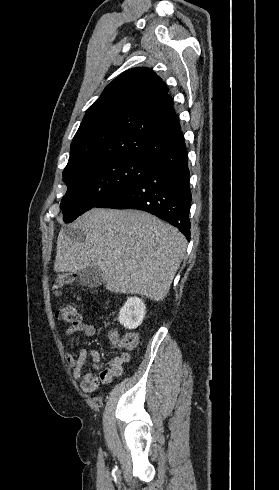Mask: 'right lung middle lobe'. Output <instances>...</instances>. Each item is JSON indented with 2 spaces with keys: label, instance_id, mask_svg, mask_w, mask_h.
<instances>
[{
  "label": "right lung middle lobe",
  "instance_id": "obj_1",
  "mask_svg": "<svg viewBox=\"0 0 279 490\" xmlns=\"http://www.w3.org/2000/svg\"><path fill=\"white\" fill-rule=\"evenodd\" d=\"M152 162L133 158L100 159L63 174L68 187L61 201L65 223L95 207L106 196L142 177Z\"/></svg>",
  "mask_w": 279,
  "mask_h": 490
}]
</instances>
